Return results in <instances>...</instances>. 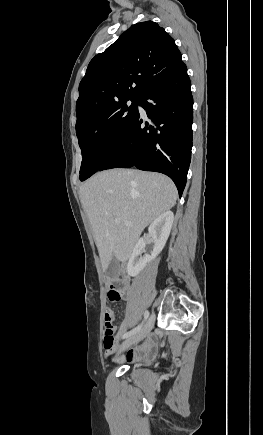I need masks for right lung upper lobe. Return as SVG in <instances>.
<instances>
[{"mask_svg": "<svg viewBox=\"0 0 263 435\" xmlns=\"http://www.w3.org/2000/svg\"><path fill=\"white\" fill-rule=\"evenodd\" d=\"M173 38L157 23L134 24L88 65L79 85L76 128L111 104L140 99L181 64Z\"/></svg>", "mask_w": 263, "mask_h": 435, "instance_id": "right-lung-upper-lobe-1", "label": "right lung upper lobe"}]
</instances>
